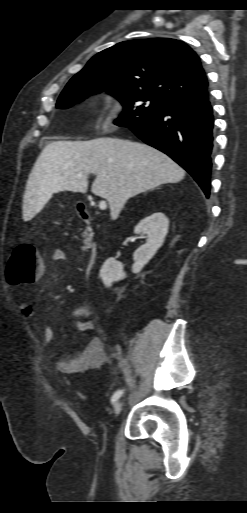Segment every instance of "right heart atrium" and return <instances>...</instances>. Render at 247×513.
<instances>
[{
  "instance_id": "1",
  "label": "right heart atrium",
  "mask_w": 247,
  "mask_h": 513,
  "mask_svg": "<svg viewBox=\"0 0 247 513\" xmlns=\"http://www.w3.org/2000/svg\"><path fill=\"white\" fill-rule=\"evenodd\" d=\"M127 112V105L121 94L114 93L109 101L108 108L102 121L104 132L113 131Z\"/></svg>"
}]
</instances>
